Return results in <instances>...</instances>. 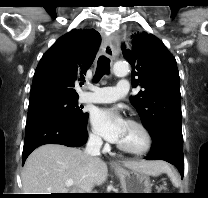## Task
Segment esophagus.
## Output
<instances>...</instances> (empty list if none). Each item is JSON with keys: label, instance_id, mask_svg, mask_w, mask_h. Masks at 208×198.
<instances>
[{"label": "esophagus", "instance_id": "esophagus-1", "mask_svg": "<svg viewBox=\"0 0 208 198\" xmlns=\"http://www.w3.org/2000/svg\"><path fill=\"white\" fill-rule=\"evenodd\" d=\"M104 54L108 57L113 56V47L110 41H106L103 48Z\"/></svg>", "mask_w": 208, "mask_h": 198}]
</instances>
